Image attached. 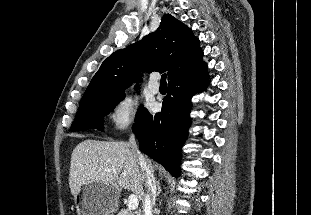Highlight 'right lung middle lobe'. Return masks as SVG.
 I'll use <instances>...</instances> for the list:
<instances>
[{
	"instance_id": "dd1d6c3e",
	"label": "right lung middle lobe",
	"mask_w": 311,
	"mask_h": 215,
	"mask_svg": "<svg viewBox=\"0 0 311 215\" xmlns=\"http://www.w3.org/2000/svg\"><path fill=\"white\" fill-rule=\"evenodd\" d=\"M124 98L125 93L101 96L80 103L75 121L71 126V131L94 128L103 131L104 116L108 115ZM146 112L145 108H140L136 114L135 122Z\"/></svg>"
}]
</instances>
